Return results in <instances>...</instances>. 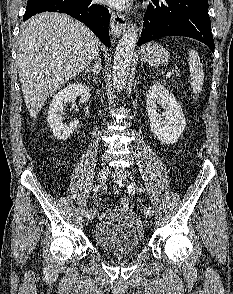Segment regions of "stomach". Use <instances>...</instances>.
<instances>
[{
  "label": "stomach",
  "instance_id": "0dacf381",
  "mask_svg": "<svg viewBox=\"0 0 233 294\" xmlns=\"http://www.w3.org/2000/svg\"><path fill=\"white\" fill-rule=\"evenodd\" d=\"M140 58L151 66H161L169 62L170 54L163 46L152 42L142 47Z\"/></svg>",
  "mask_w": 233,
  "mask_h": 294
}]
</instances>
